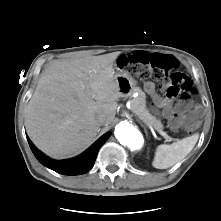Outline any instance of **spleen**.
<instances>
[{
    "label": "spleen",
    "mask_w": 221,
    "mask_h": 221,
    "mask_svg": "<svg viewBox=\"0 0 221 221\" xmlns=\"http://www.w3.org/2000/svg\"><path fill=\"white\" fill-rule=\"evenodd\" d=\"M199 138V134H193L174 142L173 144H162L156 148L153 167L157 169H167L184 159L194 148Z\"/></svg>",
    "instance_id": "spleen-1"
}]
</instances>
